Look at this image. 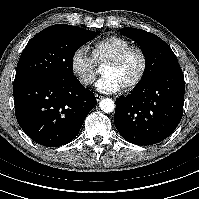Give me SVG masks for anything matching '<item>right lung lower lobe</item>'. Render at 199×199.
Returning a JSON list of instances; mask_svg holds the SVG:
<instances>
[{"instance_id": "obj_1", "label": "right lung lower lobe", "mask_w": 199, "mask_h": 199, "mask_svg": "<svg viewBox=\"0 0 199 199\" xmlns=\"http://www.w3.org/2000/svg\"><path fill=\"white\" fill-rule=\"evenodd\" d=\"M13 90L20 127L33 141L47 147L72 141L97 103L77 78H27L15 81Z\"/></svg>"}]
</instances>
